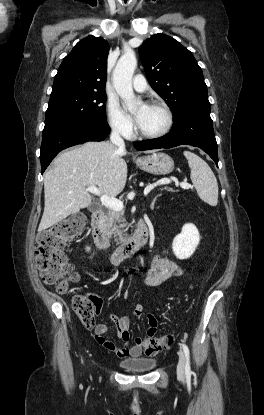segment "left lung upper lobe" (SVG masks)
<instances>
[{"label": "left lung upper lobe", "mask_w": 264, "mask_h": 415, "mask_svg": "<svg viewBox=\"0 0 264 415\" xmlns=\"http://www.w3.org/2000/svg\"><path fill=\"white\" fill-rule=\"evenodd\" d=\"M147 79L168 103L174 120L189 109L210 107L201 68L172 37L155 34L139 48Z\"/></svg>", "instance_id": "obj_1"}]
</instances>
